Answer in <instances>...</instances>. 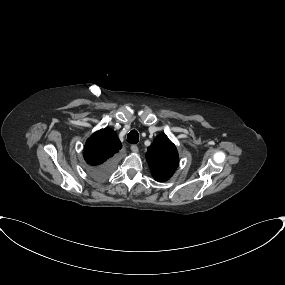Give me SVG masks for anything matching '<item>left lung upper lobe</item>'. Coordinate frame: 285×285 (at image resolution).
<instances>
[{"instance_id":"obj_1","label":"left lung upper lobe","mask_w":285,"mask_h":285,"mask_svg":"<svg viewBox=\"0 0 285 285\" xmlns=\"http://www.w3.org/2000/svg\"><path fill=\"white\" fill-rule=\"evenodd\" d=\"M146 160L152 176L159 182L170 179L179 163L177 149L165 134L158 135L148 147Z\"/></svg>"}]
</instances>
